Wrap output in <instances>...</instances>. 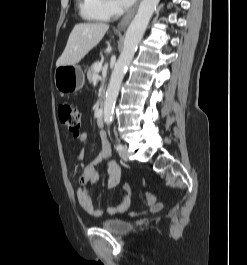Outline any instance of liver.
I'll return each mask as SVG.
<instances>
[{
	"label": "liver",
	"mask_w": 247,
	"mask_h": 265,
	"mask_svg": "<svg viewBox=\"0 0 247 265\" xmlns=\"http://www.w3.org/2000/svg\"><path fill=\"white\" fill-rule=\"evenodd\" d=\"M109 25L104 23H79L71 31L67 45L56 62V67L76 65L104 37Z\"/></svg>",
	"instance_id": "1"
}]
</instances>
